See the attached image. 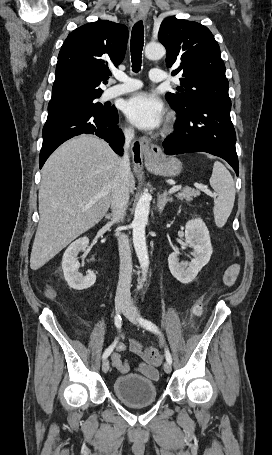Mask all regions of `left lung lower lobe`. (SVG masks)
<instances>
[{
  "label": "left lung lower lobe",
  "mask_w": 272,
  "mask_h": 455,
  "mask_svg": "<svg viewBox=\"0 0 272 455\" xmlns=\"http://www.w3.org/2000/svg\"><path fill=\"white\" fill-rule=\"evenodd\" d=\"M230 99H205L177 112L175 132L163 142L167 155L207 152L226 160L238 175Z\"/></svg>",
  "instance_id": "left-lung-lower-lobe-1"
}]
</instances>
